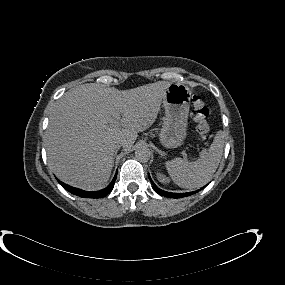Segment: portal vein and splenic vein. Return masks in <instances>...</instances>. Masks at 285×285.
Instances as JSON below:
<instances>
[{
    "label": "portal vein and splenic vein",
    "instance_id": "18ae733b",
    "mask_svg": "<svg viewBox=\"0 0 285 285\" xmlns=\"http://www.w3.org/2000/svg\"><path fill=\"white\" fill-rule=\"evenodd\" d=\"M115 124H116L117 126H119V125H120V122L116 121ZM183 158H184L186 161L188 160V157H187V153H186V152H183Z\"/></svg>",
    "mask_w": 285,
    "mask_h": 285
}]
</instances>
